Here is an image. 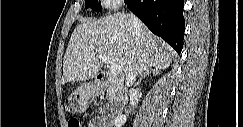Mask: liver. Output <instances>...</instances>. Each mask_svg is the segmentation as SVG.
Masks as SVG:
<instances>
[{
  "mask_svg": "<svg viewBox=\"0 0 243 127\" xmlns=\"http://www.w3.org/2000/svg\"><path fill=\"white\" fill-rule=\"evenodd\" d=\"M99 54L120 66L121 78L133 72L135 64L143 74L152 68L166 69L175 54L160 38L133 16L117 13L99 20H84L71 35L63 60L62 84L95 78L103 66Z\"/></svg>",
  "mask_w": 243,
  "mask_h": 127,
  "instance_id": "1",
  "label": "liver"
}]
</instances>
